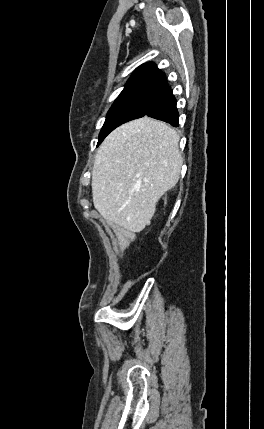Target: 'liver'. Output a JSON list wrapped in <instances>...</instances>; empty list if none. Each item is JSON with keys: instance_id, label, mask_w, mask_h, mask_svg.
Masks as SVG:
<instances>
[{"instance_id": "1", "label": "liver", "mask_w": 264, "mask_h": 429, "mask_svg": "<svg viewBox=\"0 0 264 429\" xmlns=\"http://www.w3.org/2000/svg\"><path fill=\"white\" fill-rule=\"evenodd\" d=\"M182 164L175 129L147 116L123 124L97 150L94 207L110 224L140 232L159 199L177 184Z\"/></svg>"}]
</instances>
